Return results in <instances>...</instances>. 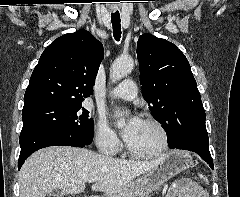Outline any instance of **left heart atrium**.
<instances>
[{
	"instance_id": "obj_1",
	"label": "left heart atrium",
	"mask_w": 240,
	"mask_h": 197,
	"mask_svg": "<svg viewBox=\"0 0 240 197\" xmlns=\"http://www.w3.org/2000/svg\"><path fill=\"white\" fill-rule=\"evenodd\" d=\"M142 120L138 116L129 118L122 130V136L126 143H129L139 131Z\"/></svg>"
}]
</instances>
